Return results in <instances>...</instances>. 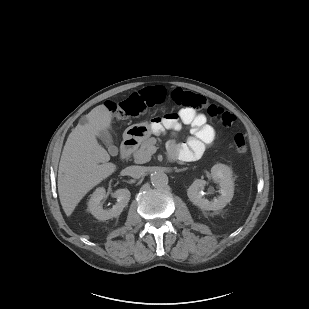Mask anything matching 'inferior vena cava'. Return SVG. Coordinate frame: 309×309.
I'll return each instance as SVG.
<instances>
[{
  "instance_id": "obj_1",
  "label": "inferior vena cava",
  "mask_w": 309,
  "mask_h": 309,
  "mask_svg": "<svg viewBox=\"0 0 309 309\" xmlns=\"http://www.w3.org/2000/svg\"><path fill=\"white\" fill-rule=\"evenodd\" d=\"M125 172L133 178H140L143 176L145 170L142 166H129L125 169Z\"/></svg>"
}]
</instances>
